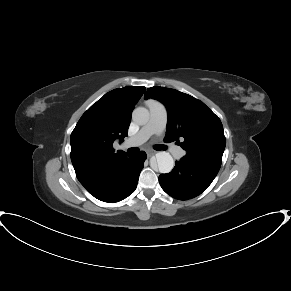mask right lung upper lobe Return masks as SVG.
<instances>
[{
    "label": "right lung upper lobe",
    "mask_w": 291,
    "mask_h": 291,
    "mask_svg": "<svg viewBox=\"0 0 291 291\" xmlns=\"http://www.w3.org/2000/svg\"><path fill=\"white\" fill-rule=\"evenodd\" d=\"M145 87H124L106 93L80 118L71 134L75 172L106 165L128 154L115 152L113 142L128 134L132 111Z\"/></svg>",
    "instance_id": "obj_1"
}]
</instances>
